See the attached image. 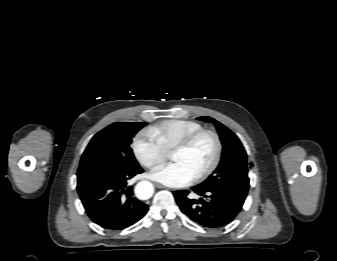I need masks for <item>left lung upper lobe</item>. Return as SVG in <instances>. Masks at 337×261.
<instances>
[{
    "label": "left lung upper lobe",
    "mask_w": 337,
    "mask_h": 261,
    "mask_svg": "<svg viewBox=\"0 0 337 261\" xmlns=\"http://www.w3.org/2000/svg\"><path fill=\"white\" fill-rule=\"evenodd\" d=\"M199 120L216 125L223 144L219 166L207 180L197 185L200 189L220 190L243 205L249 189L247 155L238 137L220 122L210 117Z\"/></svg>",
    "instance_id": "1"
}]
</instances>
